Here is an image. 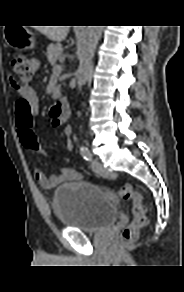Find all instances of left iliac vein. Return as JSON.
Returning a JSON list of instances; mask_svg holds the SVG:
<instances>
[{
  "label": "left iliac vein",
  "instance_id": "obj_1",
  "mask_svg": "<svg viewBox=\"0 0 184 292\" xmlns=\"http://www.w3.org/2000/svg\"><path fill=\"white\" fill-rule=\"evenodd\" d=\"M91 168L96 174L104 178L112 177V174L106 168H104V166L98 160H93L91 162Z\"/></svg>",
  "mask_w": 184,
  "mask_h": 292
}]
</instances>
